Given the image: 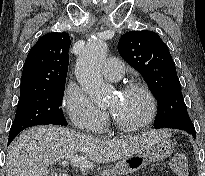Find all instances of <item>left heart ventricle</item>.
Returning a JSON list of instances; mask_svg holds the SVG:
<instances>
[{
  "label": "left heart ventricle",
  "instance_id": "left-heart-ventricle-1",
  "mask_svg": "<svg viewBox=\"0 0 205 176\" xmlns=\"http://www.w3.org/2000/svg\"><path fill=\"white\" fill-rule=\"evenodd\" d=\"M108 108L121 122L135 125L148 115L149 103L140 92L122 93L111 97Z\"/></svg>",
  "mask_w": 205,
  "mask_h": 176
}]
</instances>
